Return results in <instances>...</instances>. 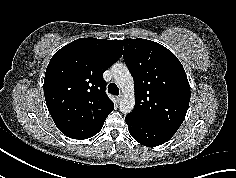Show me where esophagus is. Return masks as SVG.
<instances>
[{"label":"esophagus","instance_id":"obj_1","mask_svg":"<svg viewBox=\"0 0 236 178\" xmlns=\"http://www.w3.org/2000/svg\"><path fill=\"white\" fill-rule=\"evenodd\" d=\"M122 96H117V101L119 102L121 100Z\"/></svg>","mask_w":236,"mask_h":178}]
</instances>
